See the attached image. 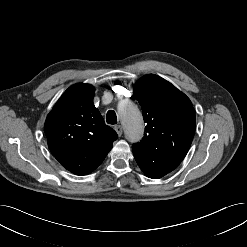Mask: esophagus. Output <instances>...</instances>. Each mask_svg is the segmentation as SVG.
Instances as JSON below:
<instances>
[{
	"instance_id": "esophagus-1",
	"label": "esophagus",
	"mask_w": 247,
	"mask_h": 247,
	"mask_svg": "<svg viewBox=\"0 0 247 247\" xmlns=\"http://www.w3.org/2000/svg\"><path fill=\"white\" fill-rule=\"evenodd\" d=\"M114 129H115L116 133L118 134V136L120 137L123 133L122 126L121 125H115Z\"/></svg>"
}]
</instances>
